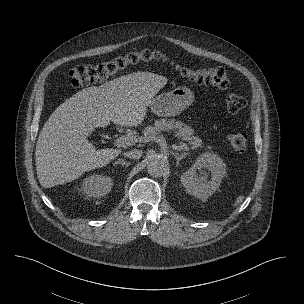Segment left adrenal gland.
Wrapping results in <instances>:
<instances>
[{
	"mask_svg": "<svg viewBox=\"0 0 304 304\" xmlns=\"http://www.w3.org/2000/svg\"><path fill=\"white\" fill-rule=\"evenodd\" d=\"M172 155L175 156L176 158V165L178 166L179 165V162L185 158L187 155H189L188 152H184V153H177V152H172Z\"/></svg>",
	"mask_w": 304,
	"mask_h": 304,
	"instance_id": "obj_1",
	"label": "left adrenal gland"
}]
</instances>
